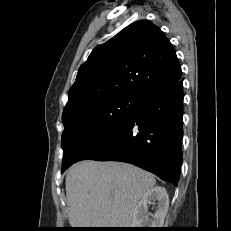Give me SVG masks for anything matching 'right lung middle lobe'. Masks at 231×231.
<instances>
[{
    "label": "right lung middle lobe",
    "mask_w": 231,
    "mask_h": 231,
    "mask_svg": "<svg viewBox=\"0 0 231 231\" xmlns=\"http://www.w3.org/2000/svg\"><path fill=\"white\" fill-rule=\"evenodd\" d=\"M136 96H119L62 116V172L116 132L136 110Z\"/></svg>",
    "instance_id": "1"
}]
</instances>
